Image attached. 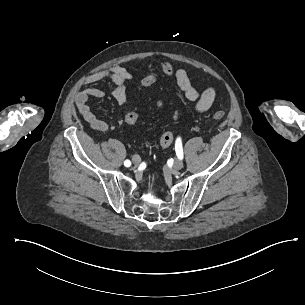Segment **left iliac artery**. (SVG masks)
<instances>
[{"label": "left iliac artery", "instance_id": "obj_1", "mask_svg": "<svg viewBox=\"0 0 305 305\" xmlns=\"http://www.w3.org/2000/svg\"><path fill=\"white\" fill-rule=\"evenodd\" d=\"M175 150L178 158H183V148H182V142L180 138H177L176 144H175Z\"/></svg>", "mask_w": 305, "mask_h": 305}]
</instances>
